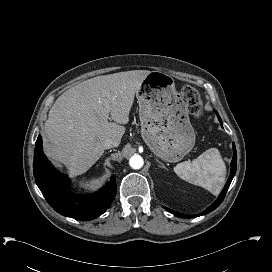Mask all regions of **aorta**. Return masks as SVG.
I'll return each mask as SVG.
<instances>
[{
	"label": "aorta",
	"mask_w": 272,
	"mask_h": 272,
	"mask_svg": "<svg viewBox=\"0 0 272 272\" xmlns=\"http://www.w3.org/2000/svg\"><path fill=\"white\" fill-rule=\"evenodd\" d=\"M129 164L133 169H140L143 164V158L140 155H134L130 158Z\"/></svg>",
	"instance_id": "1"
}]
</instances>
